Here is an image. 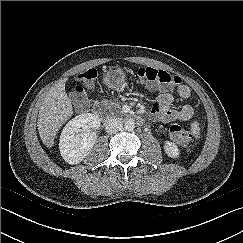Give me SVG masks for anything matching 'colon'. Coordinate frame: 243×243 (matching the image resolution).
<instances>
[{
	"mask_svg": "<svg viewBox=\"0 0 243 243\" xmlns=\"http://www.w3.org/2000/svg\"><path fill=\"white\" fill-rule=\"evenodd\" d=\"M140 79L158 84L165 88H173L181 83L179 76L164 70L152 67H140L135 71ZM97 77L95 69H88L75 75V85L71 87V98L78 109L87 107L86 92L84 84L90 85ZM170 137L179 144H187L191 140V134L179 124L173 123L169 126Z\"/></svg>",
	"mask_w": 243,
	"mask_h": 243,
	"instance_id": "obj_1",
	"label": "colon"
}]
</instances>
